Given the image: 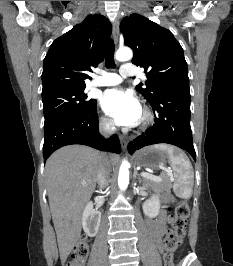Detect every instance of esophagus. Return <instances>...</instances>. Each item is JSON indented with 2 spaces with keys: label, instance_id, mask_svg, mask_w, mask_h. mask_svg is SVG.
Instances as JSON below:
<instances>
[{
  "label": "esophagus",
  "instance_id": "34e87169",
  "mask_svg": "<svg viewBox=\"0 0 233 266\" xmlns=\"http://www.w3.org/2000/svg\"><path fill=\"white\" fill-rule=\"evenodd\" d=\"M113 38L116 44H118V40H119V21L115 20L113 22ZM120 143L122 146V149L125 150L127 147V140L124 136L120 137Z\"/></svg>",
  "mask_w": 233,
  "mask_h": 266
}]
</instances>
